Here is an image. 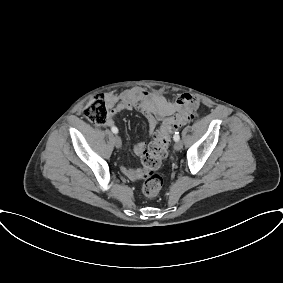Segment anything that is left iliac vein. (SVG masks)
Masks as SVG:
<instances>
[{
	"instance_id": "1",
	"label": "left iliac vein",
	"mask_w": 283,
	"mask_h": 283,
	"mask_svg": "<svg viewBox=\"0 0 283 283\" xmlns=\"http://www.w3.org/2000/svg\"><path fill=\"white\" fill-rule=\"evenodd\" d=\"M183 148V143L181 141H176L175 144H174V149L179 151Z\"/></svg>"
}]
</instances>
